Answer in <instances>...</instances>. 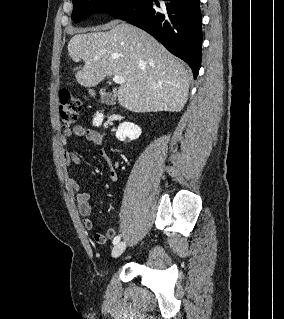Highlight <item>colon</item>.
Here are the masks:
<instances>
[{
  "label": "colon",
  "instance_id": "colon-1",
  "mask_svg": "<svg viewBox=\"0 0 284 319\" xmlns=\"http://www.w3.org/2000/svg\"><path fill=\"white\" fill-rule=\"evenodd\" d=\"M81 109V103L71 92L65 90L59 96V116L63 129L73 125Z\"/></svg>",
  "mask_w": 284,
  "mask_h": 319
}]
</instances>
